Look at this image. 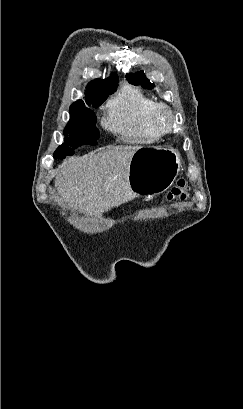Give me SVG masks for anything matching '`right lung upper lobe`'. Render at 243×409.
I'll return each instance as SVG.
<instances>
[{
    "label": "right lung upper lobe",
    "mask_w": 243,
    "mask_h": 409,
    "mask_svg": "<svg viewBox=\"0 0 243 409\" xmlns=\"http://www.w3.org/2000/svg\"><path fill=\"white\" fill-rule=\"evenodd\" d=\"M118 77L116 73L112 74L105 80L95 79L91 81L87 86V93L85 101L87 105H93L98 102L105 94L115 91ZM86 108L85 103L82 100H78L70 106V109Z\"/></svg>",
    "instance_id": "right-lung-upper-lobe-1"
}]
</instances>
